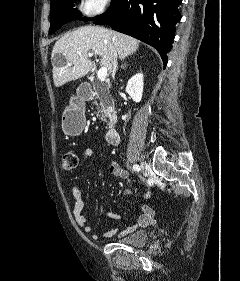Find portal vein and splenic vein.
<instances>
[{"mask_svg":"<svg viewBox=\"0 0 240 281\" xmlns=\"http://www.w3.org/2000/svg\"><path fill=\"white\" fill-rule=\"evenodd\" d=\"M89 57L93 56V53H89L88 54ZM98 62V60H96ZM97 77L100 81H105L106 77H107V69L105 67H102L99 69L98 73H97Z\"/></svg>","mask_w":240,"mask_h":281,"instance_id":"portal-vein-and-splenic-vein-1","label":"portal vein and splenic vein"}]
</instances>
